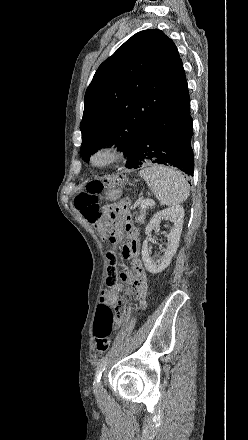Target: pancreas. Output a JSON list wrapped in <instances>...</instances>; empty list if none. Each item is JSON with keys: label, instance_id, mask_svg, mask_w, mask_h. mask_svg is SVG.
<instances>
[{"label": "pancreas", "instance_id": "1", "mask_svg": "<svg viewBox=\"0 0 248 440\" xmlns=\"http://www.w3.org/2000/svg\"><path fill=\"white\" fill-rule=\"evenodd\" d=\"M151 208L153 207V205H149ZM148 207L147 206H142L140 207V215L138 217H136V222L137 223H144V219H145V215H146V211H147Z\"/></svg>", "mask_w": 248, "mask_h": 440}]
</instances>
